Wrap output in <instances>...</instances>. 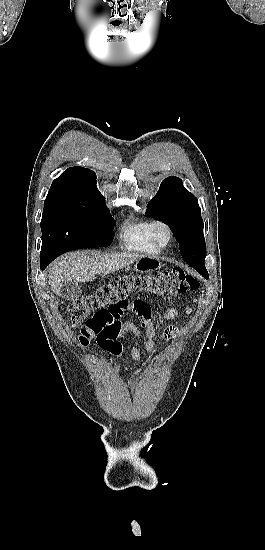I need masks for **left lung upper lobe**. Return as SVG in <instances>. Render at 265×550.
Instances as JSON below:
<instances>
[{
  "mask_svg": "<svg viewBox=\"0 0 265 550\" xmlns=\"http://www.w3.org/2000/svg\"><path fill=\"white\" fill-rule=\"evenodd\" d=\"M146 216H156L170 226L189 266L204 265L206 244L201 209L180 178L170 176L162 181L159 191L147 205Z\"/></svg>",
  "mask_w": 265,
  "mask_h": 550,
  "instance_id": "1",
  "label": "left lung upper lobe"
}]
</instances>
